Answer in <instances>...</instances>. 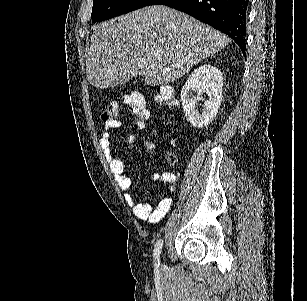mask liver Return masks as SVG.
I'll return each mask as SVG.
<instances>
[{
	"instance_id": "liver-1",
	"label": "liver",
	"mask_w": 307,
	"mask_h": 301,
	"mask_svg": "<svg viewBox=\"0 0 307 301\" xmlns=\"http://www.w3.org/2000/svg\"><path fill=\"white\" fill-rule=\"evenodd\" d=\"M230 40L185 12L145 6L98 24L90 38L87 78L96 88L125 84L134 76H144L150 86L170 84Z\"/></svg>"
}]
</instances>
